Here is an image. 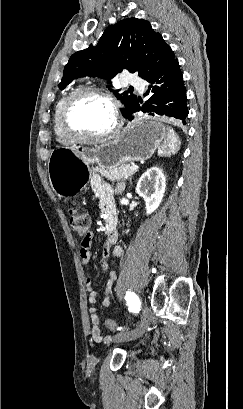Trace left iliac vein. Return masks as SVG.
<instances>
[{
  "mask_svg": "<svg viewBox=\"0 0 243 409\" xmlns=\"http://www.w3.org/2000/svg\"><path fill=\"white\" fill-rule=\"evenodd\" d=\"M150 324V309L145 306L142 311V320L140 324L132 331L118 333L114 337V342L132 341L141 337Z\"/></svg>",
  "mask_w": 243,
  "mask_h": 409,
  "instance_id": "obj_1",
  "label": "left iliac vein"
}]
</instances>
